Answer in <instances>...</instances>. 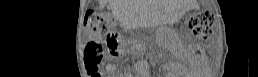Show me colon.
<instances>
[{"label":"colon","instance_id":"5ec220e1","mask_svg":"<svg viewBox=\"0 0 258 77\" xmlns=\"http://www.w3.org/2000/svg\"><path fill=\"white\" fill-rule=\"evenodd\" d=\"M213 16L209 12H199L189 20V27L199 39H207L211 34ZM85 28L89 37L86 46V68L92 77H97L103 60L104 50L117 53L124 50L128 43L114 30L112 17L103 11L91 10L85 14Z\"/></svg>","mask_w":258,"mask_h":77}]
</instances>
